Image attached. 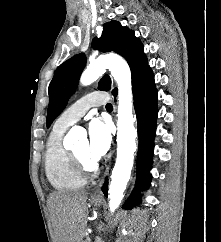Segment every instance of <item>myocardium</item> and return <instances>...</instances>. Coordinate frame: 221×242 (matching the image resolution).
<instances>
[{
	"label": "myocardium",
	"instance_id": "1",
	"mask_svg": "<svg viewBox=\"0 0 221 242\" xmlns=\"http://www.w3.org/2000/svg\"><path fill=\"white\" fill-rule=\"evenodd\" d=\"M71 157L76 170L84 177L92 174L97 169V164L94 162H85L74 151L71 152Z\"/></svg>",
	"mask_w": 221,
	"mask_h": 242
}]
</instances>
